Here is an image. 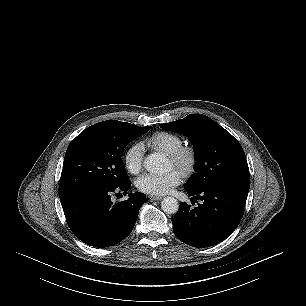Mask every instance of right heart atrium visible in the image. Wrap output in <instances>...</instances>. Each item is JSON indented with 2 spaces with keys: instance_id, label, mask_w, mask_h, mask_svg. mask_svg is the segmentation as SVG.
Masks as SVG:
<instances>
[{
  "instance_id": "d8ad5b80",
  "label": "right heart atrium",
  "mask_w": 306,
  "mask_h": 306,
  "mask_svg": "<svg viewBox=\"0 0 306 306\" xmlns=\"http://www.w3.org/2000/svg\"><path fill=\"white\" fill-rule=\"evenodd\" d=\"M125 167L131 174H138L143 168V146L139 143L132 144L124 155Z\"/></svg>"
}]
</instances>
